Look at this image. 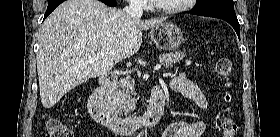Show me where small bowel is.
I'll return each mask as SVG.
<instances>
[{
	"instance_id": "small-bowel-1",
	"label": "small bowel",
	"mask_w": 280,
	"mask_h": 137,
	"mask_svg": "<svg viewBox=\"0 0 280 137\" xmlns=\"http://www.w3.org/2000/svg\"><path fill=\"white\" fill-rule=\"evenodd\" d=\"M170 88L181 92L188 98L195 101L200 107H205L206 100L201 89L184 73H180L170 81ZM205 133L203 123L176 121L170 124L161 137H202Z\"/></svg>"
}]
</instances>
